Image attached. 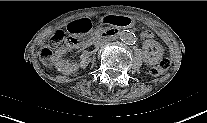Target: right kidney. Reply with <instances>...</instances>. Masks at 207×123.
<instances>
[{"label":"right kidney","instance_id":"right-kidney-1","mask_svg":"<svg viewBox=\"0 0 207 123\" xmlns=\"http://www.w3.org/2000/svg\"><path fill=\"white\" fill-rule=\"evenodd\" d=\"M65 47H59L55 53H54V59H55V66L58 69L59 72L63 74H70L73 71V67H71V64L68 61H65L62 56L66 52Z\"/></svg>","mask_w":207,"mask_h":123}]
</instances>
